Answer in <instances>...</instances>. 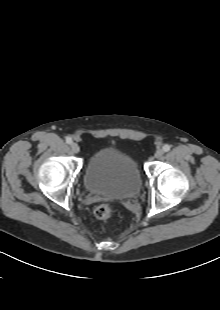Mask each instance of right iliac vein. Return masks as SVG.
<instances>
[{"instance_id":"right-iliac-vein-1","label":"right iliac vein","mask_w":220,"mask_h":310,"mask_svg":"<svg viewBox=\"0 0 220 310\" xmlns=\"http://www.w3.org/2000/svg\"><path fill=\"white\" fill-rule=\"evenodd\" d=\"M71 149H72L73 153H79V151H80V147L77 143H71Z\"/></svg>"}]
</instances>
